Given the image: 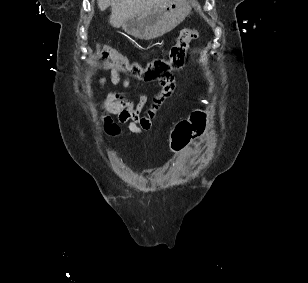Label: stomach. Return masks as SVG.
Returning <instances> with one entry per match:
<instances>
[{"instance_id":"1","label":"stomach","mask_w":308,"mask_h":283,"mask_svg":"<svg viewBox=\"0 0 308 283\" xmlns=\"http://www.w3.org/2000/svg\"><path fill=\"white\" fill-rule=\"evenodd\" d=\"M190 11V0H167L129 17L122 28L137 39L150 40L172 31Z\"/></svg>"}]
</instances>
